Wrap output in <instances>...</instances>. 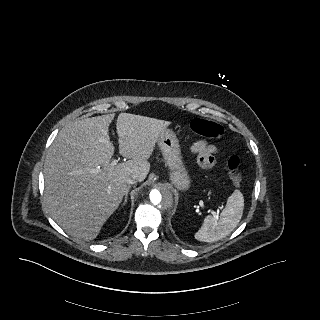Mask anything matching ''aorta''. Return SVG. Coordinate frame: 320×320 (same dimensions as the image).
I'll return each instance as SVG.
<instances>
[{"instance_id": "762f6f07", "label": "aorta", "mask_w": 320, "mask_h": 320, "mask_svg": "<svg viewBox=\"0 0 320 320\" xmlns=\"http://www.w3.org/2000/svg\"><path fill=\"white\" fill-rule=\"evenodd\" d=\"M173 203L174 194L167 184L157 186L149 193L150 209L158 215H162L165 209L171 208Z\"/></svg>"}]
</instances>
